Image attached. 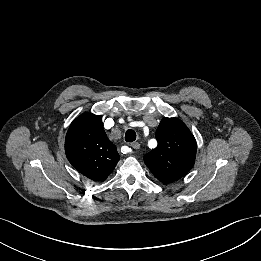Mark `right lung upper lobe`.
Returning <instances> with one entry per match:
<instances>
[{"mask_svg": "<svg viewBox=\"0 0 261 261\" xmlns=\"http://www.w3.org/2000/svg\"><path fill=\"white\" fill-rule=\"evenodd\" d=\"M69 162L93 181H104L114 170L120 156L102 126V116L83 113L70 125L65 139Z\"/></svg>", "mask_w": 261, "mask_h": 261, "instance_id": "1", "label": "right lung upper lobe"}]
</instances>
